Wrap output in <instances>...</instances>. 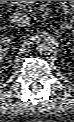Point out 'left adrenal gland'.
I'll use <instances>...</instances> for the list:
<instances>
[{
  "instance_id": "1",
  "label": "left adrenal gland",
  "mask_w": 74,
  "mask_h": 122,
  "mask_svg": "<svg viewBox=\"0 0 74 122\" xmlns=\"http://www.w3.org/2000/svg\"><path fill=\"white\" fill-rule=\"evenodd\" d=\"M63 28H68V25L64 24Z\"/></svg>"
}]
</instances>
